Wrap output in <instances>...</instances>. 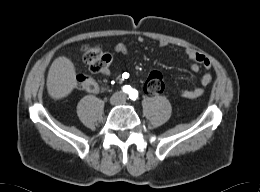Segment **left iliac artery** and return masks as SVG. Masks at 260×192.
Listing matches in <instances>:
<instances>
[{"label":"left iliac artery","mask_w":260,"mask_h":192,"mask_svg":"<svg viewBox=\"0 0 260 192\" xmlns=\"http://www.w3.org/2000/svg\"><path fill=\"white\" fill-rule=\"evenodd\" d=\"M129 98L132 100H136L138 98V91L135 89H132L129 93Z\"/></svg>","instance_id":"44dca946"}]
</instances>
